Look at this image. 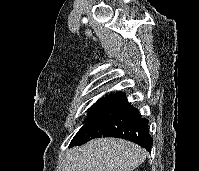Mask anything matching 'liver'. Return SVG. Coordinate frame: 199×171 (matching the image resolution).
Segmentation results:
<instances>
[{
	"mask_svg": "<svg viewBox=\"0 0 199 171\" xmlns=\"http://www.w3.org/2000/svg\"><path fill=\"white\" fill-rule=\"evenodd\" d=\"M146 156L145 149L130 141L98 138L68 152L67 171H133Z\"/></svg>",
	"mask_w": 199,
	"mask_h": 171,
	"instance_id": "liver-1",
	"label": "liver"
}]
</instances>
